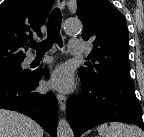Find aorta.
<instances>
[{
	"mask_svg": "<svg viewBox=\"0 0 144 137\" xmlns=\"http://www.w3.org/2000/svg\"><path fill=\"white\" fill-rule=\"evenodd\" d=\"M82 24L79 20L68 19L64 23V30L67 33H75L80 31ZM57 137H74L71 126L65 119H60L57 125Z\"/></svg>",
	"mask_w": 144,
	"mask_h": 137,
	"instance_id": "aorta-1",
	"label": "aorta"
}]
</instances>
